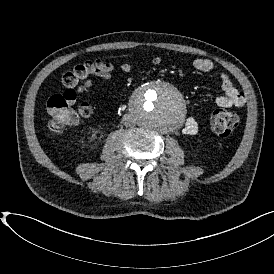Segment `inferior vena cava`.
<instances>
[{"mask_svg":"<svg viewBox=\"0 0 274 274\" xmlns=\"http://www.w3.org/2000/svg\"><path fill=\"white\" fill-rule=\"evenodd\" d=\"M123 123H124V125H126V126H128V120H127V117H123Z\"/></svg>","mask_w":274,"mask_h":274,"instance_id":"obj_1","label":"inferior vena cava"}]
</instances>
